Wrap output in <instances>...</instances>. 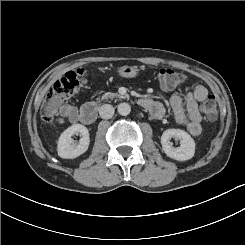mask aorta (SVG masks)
Segmentation results:
<instances>
[{"mask_svg": "<svg viewBox=\"0 0 245 245\" xmlns=\"http://www.w3.org/2000/svg\"><path fill=\"white\" fill-rule=\"evenodd\" d=\"M117 111L122 116H127L131 112V107L128 103H120L118 104Z\"/></svg>", "mask_w": 245, "mask_h": 245, "instance_id": "1", "label": "aorta"}]
</instances>
